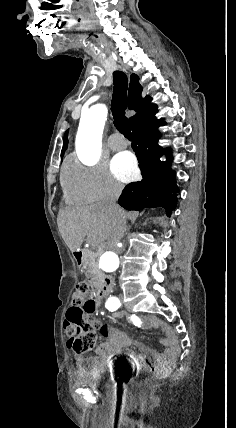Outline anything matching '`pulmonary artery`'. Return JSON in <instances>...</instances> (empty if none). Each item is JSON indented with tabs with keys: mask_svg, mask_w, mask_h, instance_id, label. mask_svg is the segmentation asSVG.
<instances>
[{
	"mask_svg": "<svg viewBox=\"0 0 236 428\" xmlns=\"http://www.w3.org/2000/svg\"><path fill=\"white\" fill-rule=\"evenodd\" d=\"M110 147L113 150H122L125 149L127 147V142H122V143H110Z\"/></svg>",
	"mask_w": 236,
	"mask_h": 428,
	"instance_id": "pulmonary-artery-1",
	"label": "pulmonary artery"
}]
</instances>
